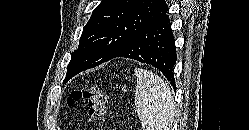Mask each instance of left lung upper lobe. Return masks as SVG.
I'll list each match as a JSON object with an SVG mask.
<instances>
[{"label": "left lung upper lobe", "mask_w": 249, "mask_h": 130, "mask_svg": "<svg viewBox=\"0 0 249 130\" xmlns=\"http://www.w3.org/2000/svg\"><path fill=\"white\" fill-rule=\"evenodd\" d=\"M167 11L164 0H102L83 28L64 83L112 59L139 31Z\"/></svg>", "instance_id": "1"}]
</instances>
